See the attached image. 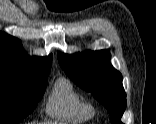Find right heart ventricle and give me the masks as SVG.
Returning <instances> with one entry per match:
<instances>
[{
	"instance_id": "1",
	"label": "right heart ventricle",
	"mask_w": 156,
	"mask_h": 124,
	"mask_svg": "<svg viewBox=\"0 0 156 124\" xmlns=\"http://www.w3.org/2000/svg\"><path fill=\"white\" fill-rule=\"evenodd\" d=\"M88 102L76 91L70 80L59 78L54 83L47 99L46 113L56 120L82 123L91 119L94 111Z\"/></svg>"
}]
</instances>
